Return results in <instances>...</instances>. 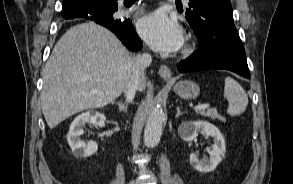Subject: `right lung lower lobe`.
<instances>
[{
  "mask_svg": "<svg viewBox=\"0 0 293 184\" xmlns=\"http://www.w3.org/2000/svg\"><path fill=\"white\" fill-rule=\"evenodd\" d=\"M116 10L117 8L113 10L95 8L85 13H80L72 18H85L95 21L115 33L128 49L133 51L140 50L142 42L133 28L131 20L121 21L114 19L112 15Z\"/></svg>",
  "mask_w": 293,
  "mask_h": 184,
  "instance_id": "obj_1",
  "label": "right lung lower lobe"
}]
</instances>
